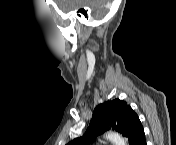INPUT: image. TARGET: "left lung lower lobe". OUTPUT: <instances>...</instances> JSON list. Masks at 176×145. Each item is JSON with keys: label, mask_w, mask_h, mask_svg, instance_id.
<instances>
[{"label": "left lung lower lobe", "mask_w": 176, "mask_h": 145, "mask_svg": "<svg viewBox=\"0 0 176 145\" xmlns=\"http://www.w3.org/2000/svg\"><path fill=\"white\" fill-rule=\"evenodd\" d=\"M134 145H146L144 132L139 136Z\"/></svg>", "instance_id": "left-lung-lower-lobe-1"}]
</instances>
